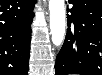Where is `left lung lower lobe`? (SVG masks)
<instances>
[{
  "mask_svg": "<svg viewBox=\"0 0 102 75\" xmlns=\"http://www.w3.org/2000/svg\"><path fill=\"white\" fill-rule=\"evenodd\" d=\"M67 34L55 75H102V0H68Z\"/></svg>",
  "mask_w": 102,
  "mask_h": 75,
  "instance_id": "obj_1",
  "label": "left lung lower lobe"
}]
</instances>
